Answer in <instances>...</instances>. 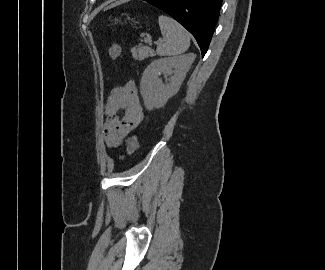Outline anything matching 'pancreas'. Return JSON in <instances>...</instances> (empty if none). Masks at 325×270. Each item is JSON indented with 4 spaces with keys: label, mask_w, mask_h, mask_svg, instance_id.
I'll return each mask as SVG.
<instances>
[{
    "label": "pancreas",
    "mask_w": 325,
    "mask_h": 270,
    "mask_svg": "<svg viewBox=\"0 0 325 270\" xmlns=\"http://www.w3.org/2000/svg\"><path fill=\"white\" fill-rule=\"evenodd\" d=\"M132 56L135 60L142 61L145 58L155 56L154 50L147 46L134 47L132 50Z\"/></svg>",
    "instance_id": "obj_1"
}]
</instances>
